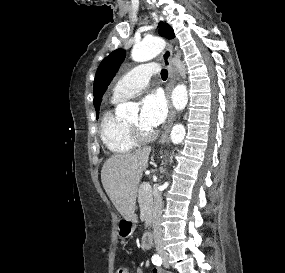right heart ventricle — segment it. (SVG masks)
I'll use <instances>...</instances> for the list:
<instances>
[{"mask_svg":"<svg viewBox=\"0 0 285 273\" xmlns=\"http://www.w3.org/2000/svg\"><path fill=\"white\" fill-rule=\"evenodd\" d=\"M100 138L105 147L115 154L128 153L137 145L127 131L124 122L115 116L112 109H107L102 115Z\"/></svg>","mask_w":285,"mask_h":273,"instance_id":"1","label":"right heart ventricle"}]
</instances>
